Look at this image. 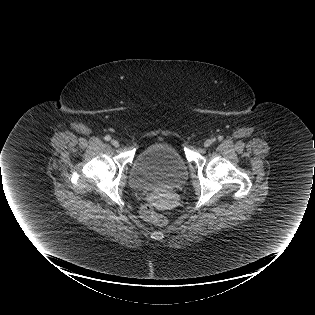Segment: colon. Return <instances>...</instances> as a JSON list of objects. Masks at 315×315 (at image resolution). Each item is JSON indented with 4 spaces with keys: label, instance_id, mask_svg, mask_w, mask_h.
<instances>
[{
    "label": "colon",
    "instance_id": "5ec220e1",
    "mask_svg": "<svg viewBox=\"0 0 315 315\" xmlns=\"http://www.w3.org/2000/svg\"><path fill=\"white\" fill-rule=\"evenodd\" d=\"M141 215L146 221L156 226H163L166 224L165 216L157 212L156 209L150 204H146L142 207Z\"/></svg>",
    "mask_w": 315,
    "mask_h": 315
}]
</instances>
